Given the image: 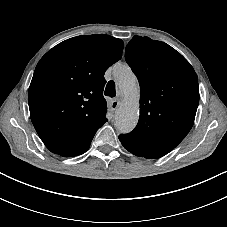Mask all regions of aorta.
Instances as JSON below:
<instances>
[{
	"instance_id": "aorta-1",
	"label": "aorta",
	"mask_w": 227,
	"mask_h": 227,
	"mask_svg": "<svg viewBox=\"0 0 227 227\" xmlns=\"http://www.w3.org/2000/svg\"><path fill=\"white\" fill-rule=\"evenodd\" d=\"M114 77L123 94L124 101L115 114V126L120 133H129L139 119V88L136 76L130 67L119 64L114 68Z\"/></svg>"
}]
</instances>
